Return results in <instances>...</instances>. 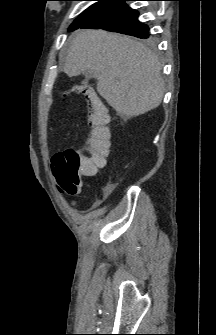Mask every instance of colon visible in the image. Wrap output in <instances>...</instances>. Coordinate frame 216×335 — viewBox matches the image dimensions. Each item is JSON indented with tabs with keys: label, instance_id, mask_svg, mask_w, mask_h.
I'll list each match as a JSON object with an SVG mask.
<instances>
[{
	"label": "colon",
	"instance_id": "obj_1",
	"mask_svg": "<svg viewBox=\"0 0 216 335\" xmlns=\"http://www.w3.org/2000/svg\"><path fill=\"white\" fill-rule=\"evenodd\" d=\"M75 93L83 94L89 101V111L86 116L90 128L92 150L90 158L84 159L73 147H69L52 158L53 173L58 181L59 190L67 195H75L84 185V178H98L99 172H106L109 163L111 145L110 125L106 107L94 95L87 85H78Z\"/></svg>",
	"mask_w": 216,
	"mask_h": 335
}]
</instances>
